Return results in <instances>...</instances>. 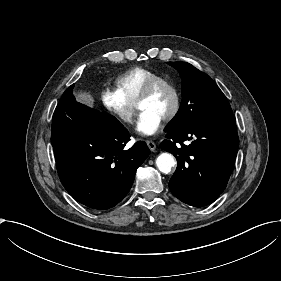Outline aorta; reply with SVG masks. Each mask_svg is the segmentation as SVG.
Wrapping results in <instances>:
<instances>
[{"mask_svg":"<svg viewBox=\"0 0 281 281\" xmlns=\"http://www.w3.org/2000/svg\"><path fill=\"white\" fill-rule=\"evenodd\" d=\"M156 165L162 173H169L176 165V161L170 153H162L157 157Z\"/></svg>","mask_w":281,"mask_h":281,"instance_id":"1","label":"aorta"}]
</instances>
